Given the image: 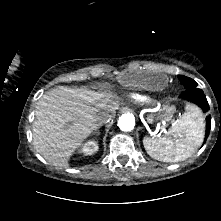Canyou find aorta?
<instances>
[{
	"mask_svg": "<svg viewBox=\"0 0 221 221\" xmlns=\"http://www.w3.org/2000/svg\"><path fill=\"white\" fill-rule=\"evenodd\" d=\"M135 126V118L132 114H123L119 117L118 120V127L122 131H131L134 129Z\"/></svg>",
	"mask_w": 221,
	"mask_h": 221,
	"instance_id": "762f6f07",
	"label": "aorta"
}]
</instances>
